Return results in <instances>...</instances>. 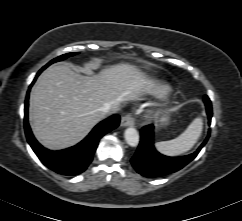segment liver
<instances>
[{
    "label": "liver",
    "instance_id": "liver-1",
    "mask_svg": "<svg viewBox=\"0 0 242 221\" xmlns=\"http://www.w3.org/2000/svg\"><path fill=\"white\" fill-rule=\"evenodd\" d=\"M149 86L136 66L121 63L83 76L66 65L48 68L37 79L29 100V120L37 140L49 149L80 142L104 118L105 104L118 108L137 100Z\"/></svg>",
    "mask_w": 242,
    "mask_h": 221
}]
</instances>
